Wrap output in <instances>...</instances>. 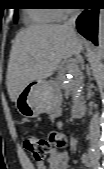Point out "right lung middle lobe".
Returning a JSON list of instances; mask_svg holds the SVG:
<instances>
[{"mask_svg":"<svg viewBox=\"0 0 104 169\" xmlns=\"http://www.w3.org/2000/svg\"><path fill=\"white\" fill-rule=\"evenodd\" d=\"M16 18H17V15H15L14 19L16 20Z\"/></svg>","mask_w":104,"mask_h":169,"instance_id":"obj_1","label":"right lung middle lobe"}]
</instances>
